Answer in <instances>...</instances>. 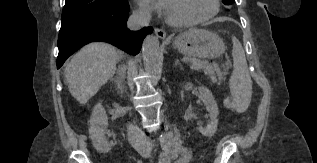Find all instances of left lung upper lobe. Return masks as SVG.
Segmentation results:
<instances>
[{
	"label": "left lung upper lobe",
	"instance_id": "5c2ea615",
	"mask_svg": "<svg viewBox=\"0 0 317 163\" xmlns=\"http://www.w3.org/2000/svg\"><path fill=\"white\" fill-rule=\"evenodd\" d=\"M225 5H230L234 0H222Z\"/></svg>",
	"mask_w": 317,
	"mask_h": 163
}]
</instances>
